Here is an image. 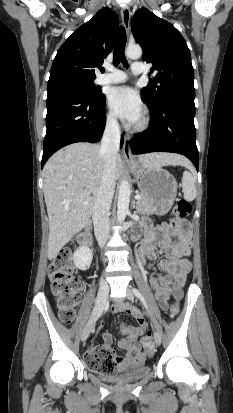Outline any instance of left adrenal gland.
Returning a JSON list of instances; mask_svg holds the SVG:
<instances>
[{"mask_svg": "<svg viewBox=\"0 0 233 413\" xmlns=\"http://www.w3.org/2000/svg\"><path fill=\"white\" fill-rule=\"evenodd\" d=\"M135 201H133V207H134Z\"/></svg>", "mask_w": 233, "mask_h": 413, "instance_id": "obj_1", "label": "left adrenal gland"}]
</instances>
